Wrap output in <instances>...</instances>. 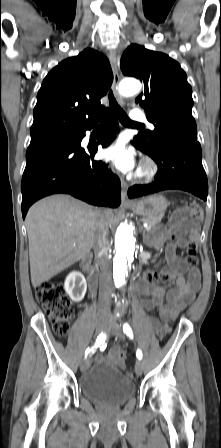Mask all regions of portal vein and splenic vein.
Listing matches in <instances>:
<instances>
[{"mask_svg":"<svg viewBox=\"0 0 221 448\" xmlns=\"http://www.w3.org/2000/svg\"><path fill=\"white\" fill-rule=\"evenodd\" d=\"M143 226H144V228H145L146 230H150V226H149L148 223H144Z\"/></svg>","mask_w":221,"mask_h":448,"instance_id":"18ae733b","label":"portal vein and splenic vein"}]
</instances>
